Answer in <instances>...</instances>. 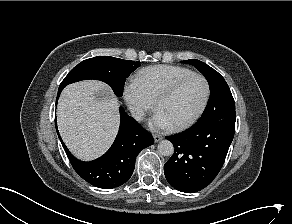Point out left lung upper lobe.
<instances>
[{"label": "left lung upper lobe", "mask_w": 292, "mask_h": 224, "mask_svg": "<svg viewBox=\"0 0 292 224\" xmlns=\"http://www.w3.org/2000/svg\"><path fill=\"white\" fill-rule=\"evenodd\" d=\"M183 62L195 66L205 76L210 86L208 105L195 125H199L220 115L235 113L233 96L221 74L199 60L190 59Z\"/></svg>", "instance_id": "5c2ea615"}]
</instances>
